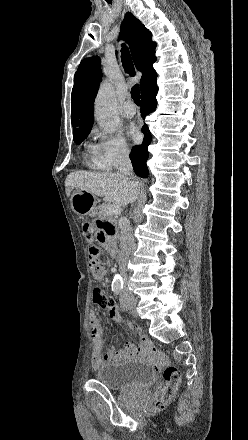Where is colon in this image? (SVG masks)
I'll return each instance as SVG.
<instances>
[{
    "label": "colon",
    "instance_id": "1",
    "mask_svg": "<svg viewBox=\"0 0 248 440\" xmlns=\"http://www.w3.org/2000/svg\"><path fill=\"white\" fill-rule=\"evenodd\" d=\"M86 227L85 234L88 238H90L91 233L88 230V224ZM89 262L93 274L96 277L101 278L104 275V266L100 259V250L95 245H91L89 248ZM95 295L98 298H104V295L98 289L95 290ZM163 377L165 380V387L162 392L161 400L155 406L156 410L163 408L164 405L173 397L181 380V374L174 366H168L163 372Z\"/></svg>",
    "mask_w": 248,
    "mask_h": 440
}]
</instances>
